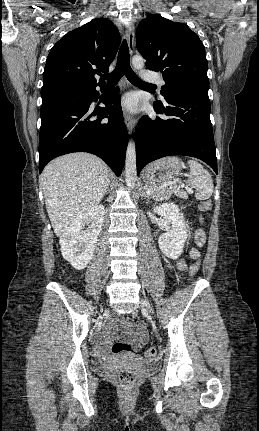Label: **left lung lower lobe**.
<instances>
[{
    "instance_id": "1",
    "label": "left lung lower lobe",
    "mask_w": 259,
    "mask_h": 431,
    "mask_svg": "<svg viewBox=\"0 0 259 431\" xmlns=\"http://www.w3.org/2000/svg\"><path fill=\"white\" fill-rule=\"evenodd\" d=\"M154 110L169 118L143 116L135 130L137 173L149 162L169 155L196 157L217 174V159L210 121V100L192 93L164 96Z\"/></svg>"
}]
</instances>
